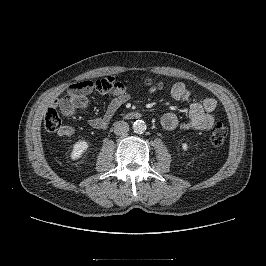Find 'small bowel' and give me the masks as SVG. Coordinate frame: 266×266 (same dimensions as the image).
I'll use <instances>...</instances> for the list:
<instances>
[{"label":"small bowel","instance_id":"obj_1","mask_svg":"<svg viewBox=\"0 0 266 266\" xmlns=\"http://www.w3.org/2000/svg\"><path fill=\"white\" fill-rule=\"evenodd\" d=\"M155 87H150L149 92L153 93ZM111 97L105 113L99 117L89 120V125L94 129H104L111 122L117 111L129 100V95L125 89L110 91ZM171 96L176 101L187 102L195 97L192 91L183 82H176L171 88ZM54 105L60 109L66 117H71L77 110H84L89 102L85 93L73 95L70 91L67 96L57 99ZM217 102L213 98H205L202 101H194L189 107L188 119L181 123L174 113H166L161 119V126L166 131L176 128L185 130H209L215 122V110ZM74 134L72 127L65 126L60 131L61 136L70 137Z\"/></svg>","mask_w":266,"mask_h":266}]
</instances>
